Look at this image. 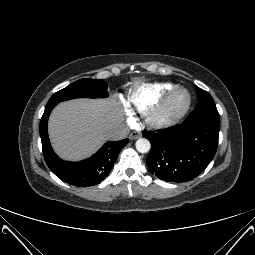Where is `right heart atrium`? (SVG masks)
<instances>
[{"mask_svg": "<svg viewBox=\"0 0 255 255\" xmlns=\"http://www.w3.org/2000/svg\"><path fill=\"white\" fill-rule=\"evenodd\" d=\"M129 120H133L132 116L129 114Z\"/></svg>", "mask_w": 255, "mask_h": 255, "instance_id": "obj_1", "label": "right heart atrium"}]
</instances>
